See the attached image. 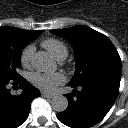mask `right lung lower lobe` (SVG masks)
<instances>
[{"mask_svg": "<svg viewBox=\"0 0 128 128\" xmlns=\"http://www.w3.org/2000/svg\"><path fill=\"white\" fill-rule=\"evenodd\" d=\"M9 83L22 88V93H10ZM40 96V91L23 77L14 81H0V128H17L28 117L31 101Z\"/></svg>", "mask_w": 128, "mask_h": 128, "instance_id": "right-lung-lower-lobe-1", "label": "right lung lower lobe"}]
</instances>
